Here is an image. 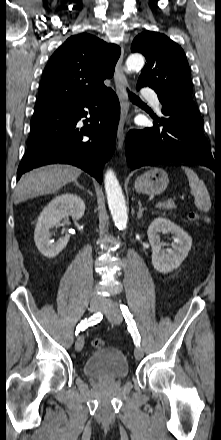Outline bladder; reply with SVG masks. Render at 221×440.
<instances>
[{"mask_svg":"<svg viewBox=\"0 0 221 440\" xmlns=\"http://www.w3.org/2000/svg\"><path fill=\"white\" fill-rule=\"evenodd\" d=\"M87 377L102 381H117L127 377L128 361L125 355L116 348L101 349L92 354L84 363Z\"/></svg>","mask_w":221,"mask_h":440,"instance_id":"31cf9c89","label":"bladder"}]
</instances>
